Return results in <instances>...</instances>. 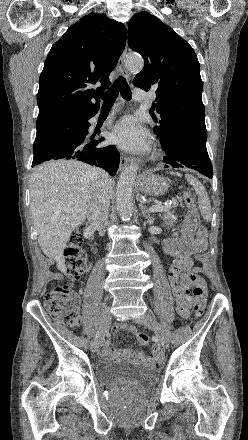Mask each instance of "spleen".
Returning a JSON list of instances; mask_svg holds the SVG:
<instances>
[{"label": "spleen", "mask_w": 248, "mask_h": 440, "mask_svg": "<svg viewBox=\"0 0 248 440\" xmlns=\"http://www.w3.org/2000/svg\"><path fill=\"white\" fill-rule=\"evenodd\" d=\"M175 174V173H172ZM177 176H181V174L176 173ZM187 181L194 187L195 192L198 196V207L201 212V215L205 221H210L212 217L211 212V203L208 196V193L204 186L191 174H186Z\"/></svg>", "instance_id": "3e777b00"}]
</instances>
